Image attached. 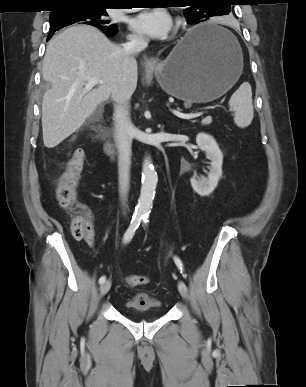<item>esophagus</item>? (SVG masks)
I'll list each match as a JSON object with an SVG mask.
<instances>
[{"label": "esophagus", "instance_id": "obj_1", "mask_svg": "<svg viewBox=\"0 0 306 387\" xmlns=\"http://www.w3.org/2000/svg\"><path fill=\"white\" fill-rule=\"evenodd\" d=\"M156 62H157V60L155 58H150L149 59V64H151V65L156 64Z\"/></svg>", "mask_w": 306, "mask_h": 387}]
</instances>
